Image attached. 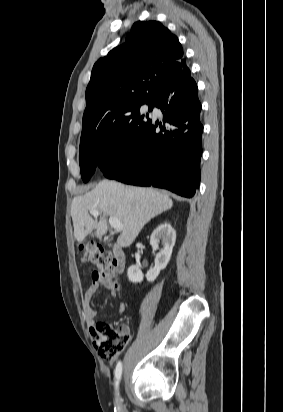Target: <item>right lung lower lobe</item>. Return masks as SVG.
<instances>
[{"label": "right lung lower lobe", "mask_w": 283, "mask_h": 412, "mask_svg": "<svg viewBox=\"0 0 283 412\" xmlns=\"http://www.w3.org/2000/svg\"><path fill=\"white\" fill-rule=\"evenodd\" d=\"M155 106L165 126L151 120L125 156L100 168L107 178L192 197L200 182L203 133L195 81L188 77L165 88Z\"/></svg>", "instance_id": "obj_1"}]
</instances>
